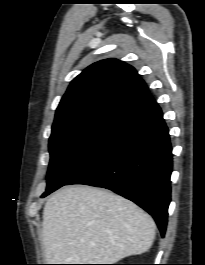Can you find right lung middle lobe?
Instances as JSON below:
<instances>
[{
	"label": "right lung middle lobe",
	"mask_w": 205,
	"mask_h": 265,
	"mask_svg": "<svg viewBox=\"0 0 205 265\" xmlns=\"http://www.w3.org/2000/svg\"><path fill=\"white\" fill-rule=\"evenodd\" d=\"M123 127L124 125L103 122L52 133L49 139L47 188L42 197L65 185L97 156Z\"/></svg>",
	"instance_id": "1"
}]
</instances>
